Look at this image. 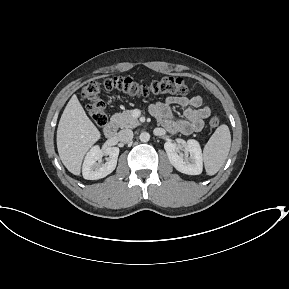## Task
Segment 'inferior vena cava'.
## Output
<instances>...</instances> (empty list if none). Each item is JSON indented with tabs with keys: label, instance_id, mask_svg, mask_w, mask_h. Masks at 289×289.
Segmentation results:
<instances>
[{
	"label": "inferior vena cava",
	"instance_id": "inferior-vena-cava-1",
	"mask_svg": "<svg viewBox=\"0 0 289 289\" xmlns=\"http://www.w3.org/2000/svg\"><path fill=\"white\" fill-rule=\"evenodd\" d=\"M118 139L120 142L129 143L133 139V131L130 129H123L119 131Z\"/></svg>",
	"mask_w": 289,
	"mask_h": 289
}]
</instances>
